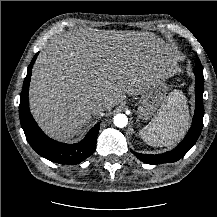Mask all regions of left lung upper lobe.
Listing matches in <instances>:
<instances>
[{
  "mask_svg": "<svg viewBox=\"0 0 217 217\" xmlns=\"http://www.w3.org/2000/svg\"><path fill=\"white\" fill-rule=\"evenodd\" d=\"M199 76H203V68L202 65L200 63V61L197 59L196 60V66H195V70H194Z\"/></svg>",
  "mask_w": 217,
  "mask_h": 217,
  "instance_id": "5c2ea615",
  "label": "left lung upper lobe"
}]
</instances>
